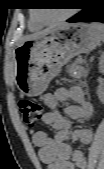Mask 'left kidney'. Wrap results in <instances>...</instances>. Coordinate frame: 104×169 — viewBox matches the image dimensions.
Listing matches in <instances>:
<instances>
[{
  "label": "left kidney",
  "mask_w": 104,
  "mask_h": 169,
  "mask_svg": "<svg viewBox=\"0 0 104 169\" xmlns=\"http://www.w3.org/2000/svg\"><path fill=\"white\" fill-rule=\"evenodd\" d=\"M103 66V60L100 61V67ZM98 98L102 101L104 99V89L103 87L99 86L97 89Z\"/></svg>",
  "instance_id": "left-kidney-1"
}]
</instances>
